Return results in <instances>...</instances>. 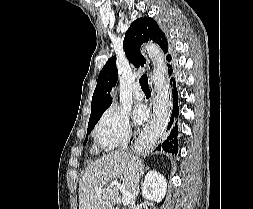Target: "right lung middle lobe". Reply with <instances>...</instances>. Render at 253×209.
I'll list each match as a JSON object with an SVG mask.
<instances>
[{"label": "right lung middle lobe", "instance_id": "1", "mask_svg": "<svg viewBox=\"0 0 253 209\" xmlns=\"http://www.w3.org/2000/svg\"><path fill=\"white\" fill-rule=\"evenodd\" d=\"M99 119H100V117L93 118V119L89 120L88 129H87V135L90 134L91 130L94 128V126L96 125V123L98 122ZM86 141H87V138L85 139L84 144L86 143Z\"/></svg>", "mask_w": 253, "mask_h": 209}]
</instances>
